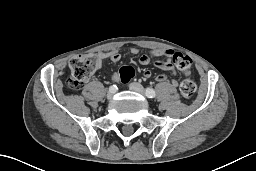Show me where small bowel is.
Here are the masks:
<instances>
[{
    "label": "small bowel",
    "mask_w": 256,
    "mask_h": 171,
    "mask_svg": "<svg viewBox=\"0 0 256 171\" xmlns=\"http://www.w3.org/2000/svg\"><path fill=\"white\" fill-rule=\"evenodd\" d=\"M130 52L132 54H138L139 53V49L138 48H131ZM180 54L178 52H175L171 49H156V50H151L146 54H143L140 56L139 58V63L141 65H148L151 62H154V64L162 69L167 70L168 72H170L171 74H175L176 71V64L174 61V57ZM97 56L103 61L105 59H109L114 63H117L120 61L121 59V54L116 51L113 50L111 52H99L97 54ZM159 58H164L165 60H160ZM151 75L150 71H145L144 72V76L145 77H149ZM114 79L118 80V76L117 74L114 75ZM157 81H165L167 80V76L166 75H158L156 77ZM173 84H176V81H172Z\"/></svg>",
    "instance_id": "obj_1"
}]
</instances>
